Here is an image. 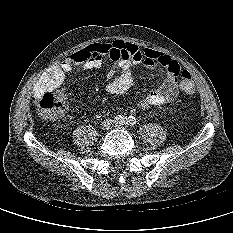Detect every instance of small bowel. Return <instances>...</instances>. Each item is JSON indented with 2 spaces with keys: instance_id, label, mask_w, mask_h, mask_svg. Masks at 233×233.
Instances as JSON below:
<instances>
[{
  "instance_id": "c3829d8e",
  "label": "small bowel",
  "mask_w": 233,
  "mask_h": 233,
  "mask_svg": "<svg viewBox=\"0 0 233 233\" xmlns=\"http://www.w3.org/2000/svg\"><path fill=\"white\" fill-rule=\"evenodd\" d=\"M109 58L114 66L108 72L107 90L116 96L124 95L132 86V65L143 64L149 69H164L163 77L154 90L148 91L139 101L144 110L151 106L174 101L178 96V76L181 73L178 62L171 56L153 50H140L136 45L122 41L93 43L51 66L36 85L35 94L57 89L66 75L75 68L98 69L104 59Z\"/></svg>"
}]
</instances>
